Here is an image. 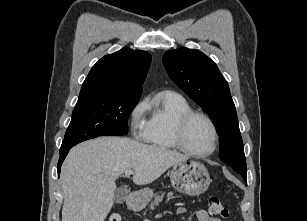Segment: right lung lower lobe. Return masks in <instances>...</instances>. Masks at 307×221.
<instances>
[{"instance_id": "right-lung-lower-lobe-1", "label": "right lung lower lobe", "mask_w": 307, "mask_h": 221, "mask_svg": "<svg viewBox=\"0 0 307 221\" xmlns=\"http://www.w3.org/2000/svg\"><path fill=\"white\" fill-rule=\"evenodd\" d=\"M69 150L70 149H67V150H64V151L60 152V157H59V161H58V177H59L60 172H61L60 167H61V165H62L66 155L68 154Z\"/></svg>"}]
</instances>
